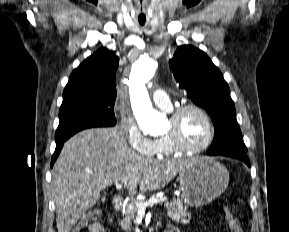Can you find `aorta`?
<instances>
[{"instance_id": "762f6f07", "label": "aorta", "mask_w": 289, "mask_h": 232, "mask_svg": "<svg viewBox=\"0 0 289 232\" xmlns=\"http://www.w3.org/2000/svg\"><path fill=\"white\" fill-rule=\"evenodd\" d=\"M156 62L148 56L140 57L131 73V94L134 115L145 134L158 135L165 127L164 117L153 109L145 83L155 73Z\"/></svg>"}]
</instances>
